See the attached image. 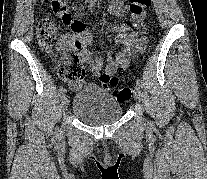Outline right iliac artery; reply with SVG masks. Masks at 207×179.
<instances>
[{
	"instance_id": "1",
	"label": "right iliac artery",
	"mask_w": 207,
	"mask_h": 179,
	"mask_svg": "<svg viewBox=\"0 0 207 179\" xmlns=\"http://www.w3.org/2000/svg\"><path fill=\"white\" fill-rule=\"evenodd\" d=\"M65 91H66L65 88L61 86L58 92L59 96H62L65 93Z\"/></svg>"
}]
</instances>
